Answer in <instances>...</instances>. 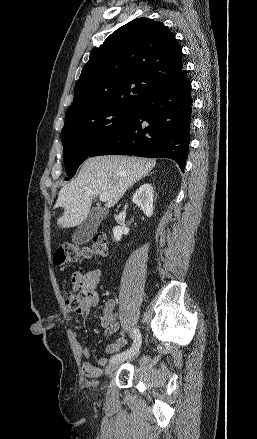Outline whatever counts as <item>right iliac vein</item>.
<instances>
[{
	"label": "right iliac vein",
	"mask_w": 257,
	"mask_h": 439,
	"mask_svg": "<svg viewBox=\"0 0 257 439\" xmlns=\"http://www.w3.org/2000/svg\"><path fill=\"white\" fill-rule=\"evenodd\" d=\"M136 357V355H133L132 356V358H135ZM124 360L122 359V360H118V361H116V362H112V363H110L107 367H106V369H105V374L106 375H109V374H111L115 369H117L119 366H120V364L123 362Z\"/></svg>",
	"instance_id": "obj_1"
}]
</instances>
